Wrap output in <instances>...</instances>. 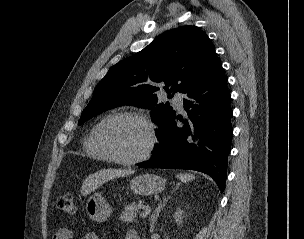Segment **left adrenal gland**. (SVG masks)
Listing matches in <instances>:
<instances>
[{
	"instance_id": "1",
	"label": "left adrenal gland",
	"mask_w": 304,
	"mask_h": 239,
	"mask_svg": "<svg viewBox=\"0 0 304 239\" xmlns=\"http://www.w3.org/2000/svg\"><path fill=\"white\" fill-rule=\"evenodd\" d=\"M171 198V196H167L165 198H163L162 201L159 202V204L157 205L156 209L154 210V212L152 213L151 217H150V232L152 233L154 230V226L155 223L158 220L159 217V213L161 212V210L165 207L167 201Z\"/></svg>"
}]
</instances>
